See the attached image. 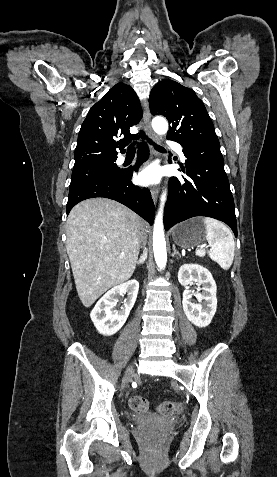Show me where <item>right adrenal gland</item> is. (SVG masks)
Wrapping results in <instances>:
<instances>
[{"mask_svg": "<svg viewBox=\"0 0 277 477\" xmlns=\"http://www.w3.org/2000/svg\"><path fill=\"white\" fill-rule=\"evenodd\" d=\"M147 259V249L145 248L143 251V255L140 257V259L136 262V264L139 266L145 262Z\"/></svg>", "mask_w": 277, "mask_h": 477, "instance_id": "2a0ac1e0", "label": "right adrenal gland"}]
</instances>
